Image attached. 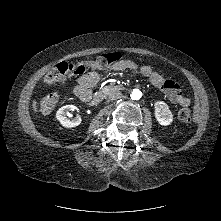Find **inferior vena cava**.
I'll list each match as a JSON object with an SVG mask.
<instances>
[{"label":"inferior vena cava","mask_w":221,"mask_h":221,"mask_svg":"<svg viewBox=\"0 0 221 221\" xmlns=\"http://www.w3.org/2000/svg\"><path fill=\"white\" fill-rule=\"evenodd\" d=\"M122 97V93L120 92V91H118V90H113V91H111L110 93H109V96H108V98L110 99V100H117V99H120Z\"/></svg>","instance_id":"602c4592"}]
</instances>
